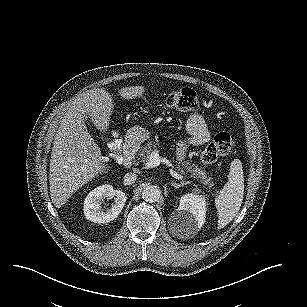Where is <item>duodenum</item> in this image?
<instances>
[{
  "label": "duodenum",
  "instance_id": "duodenum-1",
  "mask_svg": "<svg viewBox=\"0 0 307 307\" xmlns=\"http://www.w3.org/2000/svg\"><path fill=\"white\" fill-rule=\"evenodd\" d=\"M136 152V145L133 142H127L123 147V159L126 167H131L133 164Z\"/></svg>",
  "mask_w": 307,
  "mask_h": 307
}]
</instances>
